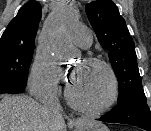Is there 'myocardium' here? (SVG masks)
Wrapping results in <instances>:
<instances>
[{
	"label": "myocardium",
	"instance_id": "1",
	"mask_svg": "<svg viewBox=\"0 0 151 131\" xmlns=\"http://www.w3.org/2000/svg\"><path fill=\"white\" fill-rule=\"evenodd\" d=\"M83 65L89 66V65H95L103 68L106 73L108 74L109 80H110V92L107 97V99L102 102L101 104L98 105H88L85 104L78 99H76L71 90L70 87L67 86L65 89V96L68 101V103L75 109H77L80 112L87 113V114H102L110 110L114 104L117 102L118 97H119V82L118 78L116 76L115 71L111 67L109 63L106 61L100 59V58H95V57H90L86 58L83 62Z\"/></svg>",
	"mask_w": 151,
	"mask_h": 131
}]
</instances>
